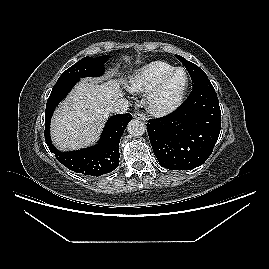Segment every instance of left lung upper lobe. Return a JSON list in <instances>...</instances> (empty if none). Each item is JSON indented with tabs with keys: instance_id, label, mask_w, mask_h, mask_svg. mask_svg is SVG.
Wrapping results in <instances>:
<instances>
[{
	"instance_id": "left-lung-upper-lobe-1",
	"label": "left lung upper lobe",
	"mask_w": 269,
	"mask_h": 269,
	"mask_svg": "<svg viewBox=\"0 0 269 269\" xmlns=\"http://www.w3.org/2000/svg\"><path fill=\"white\" fill-rule=\"evenodd\" d=\"M177 59L182 62V64L185 66V68L188 70L193 86H196L202 82L209 81L207 75L205 72L199 68L197 65L193 64L192 62L187 61L185 58L176 55Z\"/></svg>"
}]
</instances>
